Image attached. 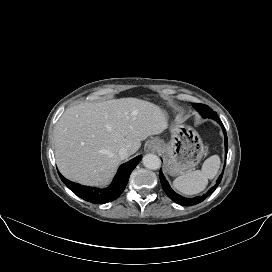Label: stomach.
I'll return each mask as SVG.
<instances>
[{
    "instance_id": "stomach-1",
    "label": "stomach",
    "mask_w": 272,
    "mask_h": 272,
    "mask_svg": "<svg viewBox=\"0 0 272 272\" xmlns=\"http://www.w3.org/2000/svg\"><path fill=\"white\" fill-rule=\"evenodd\" d=\"M151 143L164 155V168L170 175H179L196 167L205 155V147L199 134L190 126L174 123L171 139L164 142L155 138Z\"/></svg>"
}]
</instances>
